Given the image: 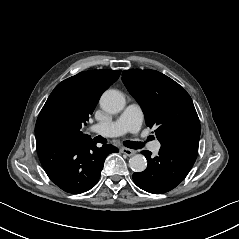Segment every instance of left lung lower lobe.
<instances>
[{
    "mask_svg": "<svg viewBox=\"0 0 239 239\" xmlns=\"http://www.w3.org/2000/svg\"><path fill=\"white\" fill-rule=\"evenodd\" d=\"M198 153V143L178 141L161 145L159 155L142 151L149 165L146 170L133 174L135 184L152 194L166 193L184 180Z\"/></svg>",
    "mask_w": 239,
    "mask_h": 239,
    "instance_id": "1",
    "label": "left lung lower lobe"
}]
</instances>
